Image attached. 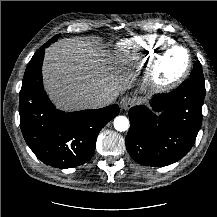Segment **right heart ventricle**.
I'll return each instance as SVG.
<instances>
[{
    "mask_svg": "<svg viewBox=\"0 0 217 217\" xmlns=\"http://www.w3.org/2000/svg\"><path fill=\"white\" fill-rule=\"evenodd\" d=\"M173 40L163 35H145L132 39H124L116 45V56L125 64L151 62L163 48L171 45Z\"/></svg>",
    "mask_w": 217,
    "mask_h": 217,
    "instance_id": "right-heart-ventricle-1",
    "label": "right heart ventricle"
}]
</instances>
